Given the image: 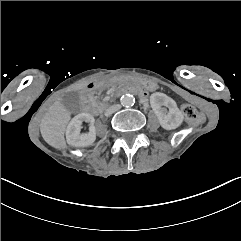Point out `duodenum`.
I'll return each instance as SVG.
<instances>
[{"instance_id": "obj_1", "label": "duodenum", "mask_w": 241, "mask_h": 241, "mask_svg": "<svg viewBox=\"0 0 241 241\" xmlns=\"http://www.w3.org/2000/svg\"><path fill=\"white\" fill-rule=\"evenodd\" d=\"M103 85V81L96 80L89 83L82 91V106L85 111L92 112L93 114L98 113V109L93 105L92 96L101 86ZM126 93H132L138 95L141 98L146 96V91L136 87V86H127L117 90L114 93L115 97H119Z\"/></svg>"}]
</instances>
